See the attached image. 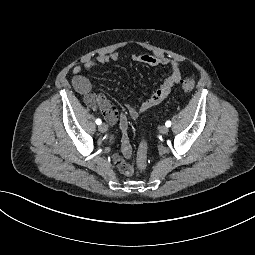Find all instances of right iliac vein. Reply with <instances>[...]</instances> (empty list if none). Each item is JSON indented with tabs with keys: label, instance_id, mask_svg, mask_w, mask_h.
Listing matches in <instances>:
<instances>
[{
	"label": "right iliac vein",
	"instance_id": "obj_1",
	"mask_svg": "<svg viewBox=\"0 0 255 255\" xmlns=\"http://www.w3.org/2000/svg\"><path fill=\"white\" fill-rule=\"evenodd\" d=\"M98 129L100 132L104 133L108 130V126L105 123H102L99 125Z\"/></svg>",
	"mask_w": 255,
	"mask_h": 255
}]
</instances>
